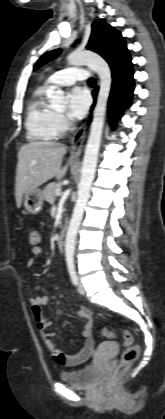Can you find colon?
I'll list each match as a JSON object with an SVG mask.
<instances>
[{"mask_svg":"<svg viewBox=\"0 0 165 419\" xmlns=\"http://www.w3.org/2000/svg\"><path fill=\"white\" fill-rule=\"evenodd\" d=\"M30 239L33 243L38 241V238L35 234L31 235ZM121 332L125 349L118 364L108 379L107 384L109 386H113L119 381V379L124 375L128 368L137 360L140 353V347L136 343L134 336L127 330H122ZM102 335L105 338H111L113 333L110 329L104 328L102 330Z\"/></svg>","mask_w":165,"mask_h":419,"instance_id":"obj_1","label":"colon"}]
</instances>
